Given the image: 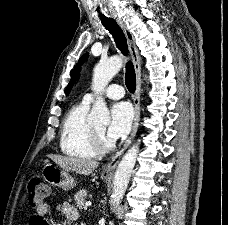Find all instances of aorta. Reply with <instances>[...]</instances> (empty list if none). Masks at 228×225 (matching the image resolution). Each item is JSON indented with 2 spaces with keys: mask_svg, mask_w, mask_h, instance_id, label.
Segmentation results:
<instances>
[{
  "mask_svg": "<svg viewBox=\"0 0 228 225\" xmlns=\"http://www.w3.org/2000/svg\"><path fill=\"white\" fill-rule=\"evenodd\" d=\"M122 64L123 58L118 56V54H114V56H110L107 60H101V62L96 64L92 78V90L97 94L98 100H95L91 108V113L87 117V123H89V125H98V123L110 125V113L106 102H104V98H102L100 94L105 86L109 84L111 78L119 72ZM138 151L139 143H136V145H133V147L125 153L116 169L111 195L113 207H117L118 203L123 199V195L130 181L131 173L135 167Z\"/></svg>",
  "mask_w": 228,
  "mask_h": 225,
  "instance_id": "762f6f07",
  "label": "aorta"
}]
</instances>
